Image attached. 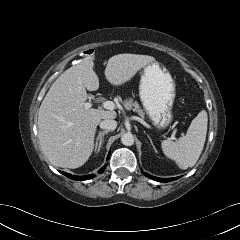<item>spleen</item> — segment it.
Segmentation results:
<instances>
[{"label": "spleen", "instance_id": "3e777b00", "mask_svg": "<svg viewBox=\"0 0 240 240\" xmlns=\"http://www.w3.org/2000/svg\"><path fill=\"white\" fill-rule=\"evenodd\" d=\"M207 124V112L202 110L192 120L185 136L180 137L176 142L171 140L162 141L163 153L174 160L179 168L183 170L193 167L204 148Z\"/></svg>", "mask_w": 240, "mask_h": 240}]
</instances>
